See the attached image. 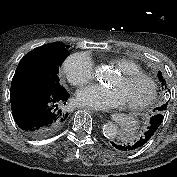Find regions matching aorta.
<instances>
[{"mask_svg": "<svg viewBox=\"0 0 177 177\" xmlns=\"http://www.w3.org/2000/svg\"><path fill=\"white\" fill-rule=\"evenodd\" d=\"M95 75L98 80L106 81L109 79L110 72L102 66L96 69ZM102 132L106 138L114 139L117 136L118 128L114 123L108 122L103 125Z\"/></svg>", "mask_w": 177, "mask_h": 177, "instance_id": "1", "label": "aorta"}]
</instances>
